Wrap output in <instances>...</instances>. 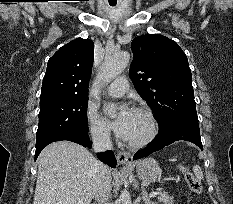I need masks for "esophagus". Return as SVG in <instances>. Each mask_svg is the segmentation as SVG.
Here are the masks:
<instances>
[{
  "label": "esophagus",
  "instance_id": "1",
  "mask_svg": "<svg viewBox=\"0 0 233 204\" xmlns=\"http://www.w3.org/2000/svg\"><path fill=\"white\" fill-rule=\"evenodd\" d=\"M116 158L120 165H130L132 163V155L125 151L118 152Z\"/></svg>",
  "mask_w": 233,
  "mask_h": 204
}]
</instances>
